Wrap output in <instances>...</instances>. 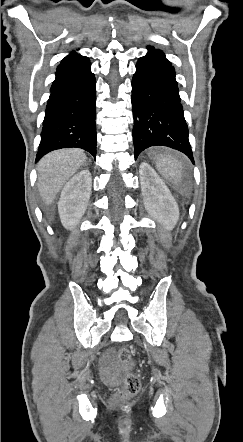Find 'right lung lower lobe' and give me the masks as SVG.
<instances>
[{
	"label": "right lung lower lobe",
	"mask_w": 243,
	"mask_h": 442,
	"mask_svg": "<svg viewBox=\"0 0 243 442\" xmlns=\"http://www.w3.org/2000/svg\"><path fill=\"white\" fill-rule=\"evenodd\" d=\"M86 56L70 54L50 88L36 161L50 151L78 147L96 157V80Z\"/></svg>",
	"instance_id": "98d812e1"
}]
</instances>
